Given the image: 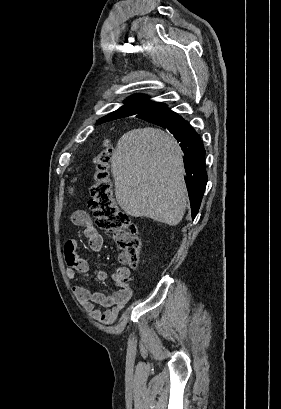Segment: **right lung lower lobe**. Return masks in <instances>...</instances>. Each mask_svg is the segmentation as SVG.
I'll return each mask as SVG.
<instances>
[{"mask_svg":"<svg viewBox=\"0 0 281 409\" xmlns=\"http://www.w3.org/2000/svg\"><path fill=\"white\" fill-rule=\"evenodd\" d=\"M173 116L180 117L167 107L138 114L136 117L143 120ZM180 142V147L185 154L184 166L188 181V194L191 202V214L194 219L198 213L201 200L207 183L205 166V149L199 135L188 121L180 119L166 127Z\"/></svg>","mask_w":281,"mask_h":409,"instance_id":"1","label":"right lung lower lobe"}]
</instances>
